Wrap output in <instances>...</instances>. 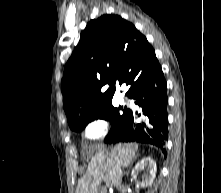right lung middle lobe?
<instances>
[{"label":"right lung middle lobe","mask_w":221,"mask_h":193,"mask_svg":"<svg viewBox=\"0 0 221 193\" xmlns=\"http://www.w3.org/2000/svg\"><path fill=\"white\" fill-rule=\"evenodd\" d=\"M129 112L130 110L127 108H115L112 104H109L102 109L78 117L70 125V128L74 131H81L89 122L95 119L110 120L112 129L107 138H111L123 127Z\"/></svg>","instance_id":"obj_1"}]
</instances>
